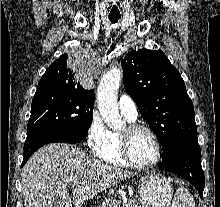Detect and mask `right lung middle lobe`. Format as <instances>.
<instances>
[{
    "instance_id": "1",
    "label": "right lung middle lobe",
    "mask_w": 220,
    "mask_h": 207,
    "mask_svg": "<svg viewBox=\"0 0 220 207\" xmlns=\"http://www.w3.org/2000/svg\"><path fill=\"white\" fill-rule=\"evenodd\" d=\"M93 96L63 90H37L27 137L46 134L86 135L93 118Z\"/></svg>"
}]
</instances>
